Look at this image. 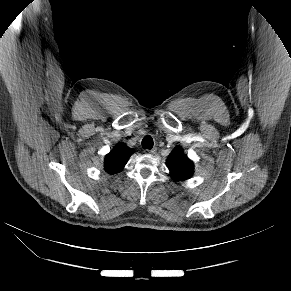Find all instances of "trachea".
<instances>
[{"label": "trachea", "mask_w": 291, "mask_h": 291, "mask_svg": "<svg viewBox=\"0 0 291 291\" xmlns=\"http://www.w3.org/2000/svg\"><path fill=\"white\" fill-rule=\"evenodd\" d=\"M142 147L149 150L153 148V139L151 136L147 135L143 138Z\"/></svg>", "instance_id": "3493384b"}]
</instances>
